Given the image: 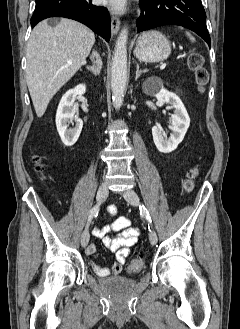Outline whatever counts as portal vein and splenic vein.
<instances>
[{"instance_id":"portal-vein-and-splenic-vein-1","label":"portal vein and splenic vein","mask_w":240,"mask_h":329,"mask_svg":"<svg viewBox=\"0 0 240 329\" xmlns=\"http://www.w3.org/2000/svg\"><path fill=\"white\" fill-rule=\"evenodd\" d=\"M166 67V63H161L160 69L163 70Z\"/></svg>"}]
</instances>
